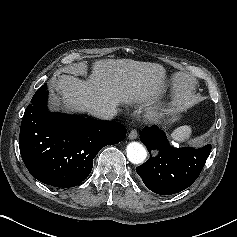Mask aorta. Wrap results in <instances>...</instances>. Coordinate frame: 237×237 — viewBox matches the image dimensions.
Returning a JSON list of instances; mask_svg holds the SVG:
<instances>
[{
    "mask_svg": "<svg viewBox=\"0 0 237 237\" xmlns=\"http://www.w3.org/2000/svg\"><path fill=\"white\" fill-rule=\"evenodd\" d=\"M127 158L133 164H141L147 157L145 147L138 142H131L126 148Z\"/></svg>",
    "mask_w": 237,
    "mask_h": 237,
    "instance_id": "762f6f07",
    "label": "aorta"
}]
</instances>
